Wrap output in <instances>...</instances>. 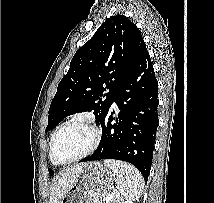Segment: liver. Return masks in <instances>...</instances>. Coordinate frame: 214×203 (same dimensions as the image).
I'll return each instance as SVG.
<instances>
[{
    "label": "liver",
    "instance_id": "liver-1",
    "mask_svg": "<svg viewBox=\"0 0 214 203\" xmlns=\"http://www.w3.org/2000/svg\"><path fill=\"white\" fill-rule=\"evenodd\" d=\"M83 164H76L57 175L50 187L49 203H61L67 192L74 186Z\"/></svg>",
    "mask_w": 214,
    "mask_h": 203
}]
</instances>
